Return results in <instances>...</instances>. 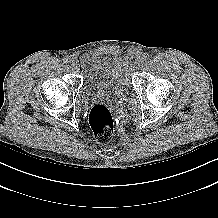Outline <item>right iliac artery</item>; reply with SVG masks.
<instances>
[{
	"instance_id": "right-iliac-artery-1",
	"label": "right iliac artery",
	"mask_w": 218,
	"mask_h": 218,
	"mask_svg": "<svg viewBox=\"0 0 218 218\" xmlns=\"http://www.w3.org/2000/svg\"><path fill=\"white\" fill-rule=\"evenodd\" d=\"M69 60H70V57H69V56H65V57L63 58V62H64V63H68Z\"/></svg>"
}]
</instances>
